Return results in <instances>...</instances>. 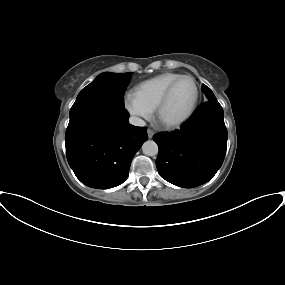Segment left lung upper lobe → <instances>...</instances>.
Returning <instances> with one entry per match:
<instances>
[{
	"instance_id": "5c2ea615",
	"label": "left lung upper lobe",
	"mask_w": 285,
	"mask_h": 285,
	"mask_svg": "<svg viewBox=\"0 0 285 285\" xmlns=\"http://www.w3.org/2000/svg\"><path fill=\"white\" fill-rule=\"evenodd\" d=\"M202 90L204 91L206 97L208 98V101L209 100L217 101L213 92L206 85H204V84L202 85Z\"/></svg>"
}]
</instances>
